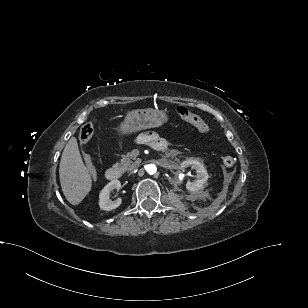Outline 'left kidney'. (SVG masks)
I'll return each mask as SVG.
<instances>
[{
  "mask_svg": "<svg viewBox=\"0 0 308 308\" xmlns=\"http://www.w3.org/2000/svg\"><path fill=\"white\" fill-rule=\"evenodd\" d=\"M191 166L196 170V180L194 182H187L186 189L189 192H196L203 189L205 182L208 180V173L204 165L195 159H187L181 163V169Z\"/></svg>",
  "mask_w": 308,
  "mask_h": 308,
  "instance_id": "1",
  "label": "left kidney"
}]
</instances>
